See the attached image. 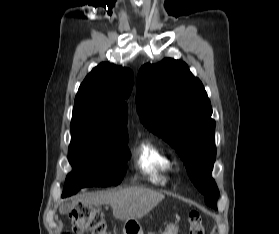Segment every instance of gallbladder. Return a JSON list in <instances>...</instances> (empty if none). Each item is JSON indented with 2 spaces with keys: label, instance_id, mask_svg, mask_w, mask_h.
I'll use <instances>...</instances> for the list:
<instances>
[{
  "label": "gallbladder",
  "instance_id": "gallbladder-1",
  "mask_svg": "<svg viewBox=\"0 0 279 234\" xmlns=\"http://www.w3.org/2000/svg\"><path fill=\"white\" fill-rule=\"evenodd\" d=\"M70 206L61 207V213H67L70 210Z\"/></svg>",
  "mask_w": 279,
  "mask_h": 234
}]
</instances>
